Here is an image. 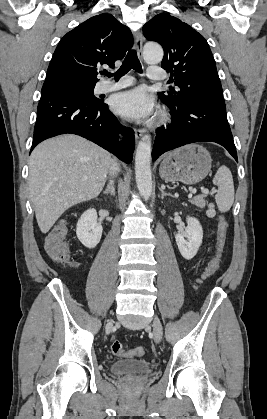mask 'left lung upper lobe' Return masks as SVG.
<instances>
[{
    "label": "left lung upper lobe",
    "mask_w": 267,
    "mask_h": 419,
    "mask_svg": "<svg viewBox=\"0 0 267 419\" xmlns=\"http://www.w3.org/2000/svg\"><path fill=\"white\" fill-rule=\"evenodd\" d=\"M144 36L164 49L161 67L179 87L158 96L170 109L196 100H224L215 60L205 38L169 14H158L143 26ZM173 82V80H172Z\"/></svg>",
    "instance_id": "obj_1"
}]
</instances>
